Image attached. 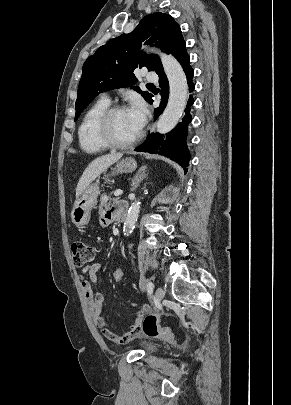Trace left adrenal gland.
I'll return each mask as SVG.
<instances>
[{
	"label": "left adrenal gland",
	"instance_id": "a2214340",
	"mask_svg": "<svg viewBox=\"0 0 291 405\" xmlns=\"http://www.w3.org/2000/svg\"><path fill=\"white\" fill-rule=\"evenodd\" d=\"M146 171V166H142L139 168L138 172L136 173L135 177L132 180L131 184V191H135L136 188L139 186L142 180L146 178L147 174L145 173Z\"/></svg>",
	"mask_w": 291,
	"mask_h": 405
}]
</instances>
